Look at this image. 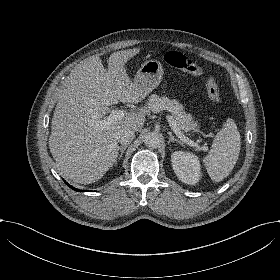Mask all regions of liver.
Listing matches in <instances>:
<instances>
[{"label":"liver","mask_w":280,"mask_h":280,"mask_svg":"<svg viewBox=\"0 0 280 280\" xmlns=\"http://www.w3.org/2000/svg\"><path fill=\"white\" fill-rule=\"evenodd\" d=\"M139 48L114 52L106 70L99 57L86 60L67 78L66 89L55 107L49 148L56 166L76 183L91 184L103 177L117 160L120 146L116 133L139 131L147 110L125 113L110 125L98 122L112 113L114 104H138L146 94L135 87L124 70Z\"/></svg>","instance_id":"6515ba94"}]
</instances>
